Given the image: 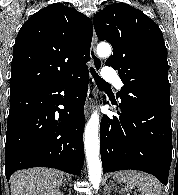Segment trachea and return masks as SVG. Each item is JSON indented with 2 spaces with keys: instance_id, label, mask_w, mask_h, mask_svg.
I'll return each mask as SVG.
<instances>
[{
  "instance_id": "3493384b",
  "label": "trachea",
  "mask_w": 178,
  "mask_h": 195,
  "mask_svg": "<svg viewBox=\"0 0 178 195\" xmlns=\"http://www.w3.org/2000/svg\"><path fill=\"white\" fill-rule=\"evenodd\" d=\"M92 77L94 78L96 84L100 87H110L97 73L93 68H90Z\"/></svg>"
}]
</instances>
